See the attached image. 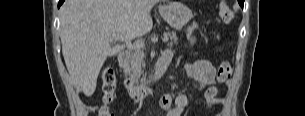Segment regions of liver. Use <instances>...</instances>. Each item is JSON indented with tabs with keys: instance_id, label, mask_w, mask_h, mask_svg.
I'll return each mask as SVG.
<instances>
[{
	"instance_id": "obj_1",
	"label": "liver",
	"mask_w": 305,
	"mask_h": 116,
	"mask_svg": "<svg viewBox=\"0 0 305 116\" xmlns=\"http://www.w3.org/2000/svg\"><path fill=\"white\" fill-rule=\"evenodd\" d=\"M159 0H66L60 8V39L69 75L90 97L109 56L123 49L108 34L128 41L148 33L150 12Z\"/></svg>"
}]
</instances>
